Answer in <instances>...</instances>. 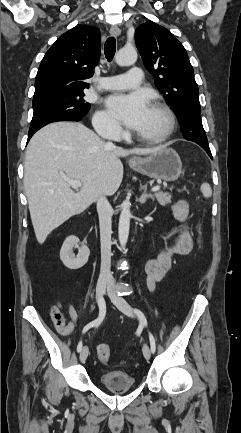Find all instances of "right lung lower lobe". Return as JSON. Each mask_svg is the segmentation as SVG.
Instances as JSON below:
<instances>
[{
	"label": "right lung lower lobe",
	"instance_id": "1",
	"mask_svg": "<svg viewBox=\"0 0 241 433\" xmlns=\"http://www.w3.org/2000/svg\"><path fill=\"white\" fill-rule=\"evenodd\" d=\"M79 120H81L80 118H74V119H72V118H62V119H60V120H58V121H79ZM38 131V130H37ZM36 132V131H35ZM35 132H32V133H29L28 134V140H27V142L29 141V139L34 135V133Z\"/></svg>",
	"mask_w": 241,
	"mask_h": 433
}]
</instances>
